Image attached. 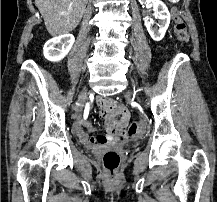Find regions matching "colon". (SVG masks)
<instances>
[{"mask_svg":"<svg viewBox=\"0 0 217 202\" xmlns=\"http://www.w3.org/2000/svg\"><path fill=\"white\" fill-rule=\"evenodd\" d=\"M173 31L175 38L180 42H187L189 39L187 25L180 15L173 16ZM137 123L133 122L129 127L130 135H137ZM103 163L107 170H109L110 177H115V171L120 164V156L116 151H108L103 156Z\"/></svg>","mask_w":217,"mask_h":202,"instance_id":"obj_1","label":"colon"}]
</instances>
